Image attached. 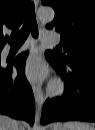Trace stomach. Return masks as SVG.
<instances>
[{
  "label": "stomach",
  "instance_id": "obj_1",
  "mask_svg": "<svg viewBox=\"0 0 95 130\" xmlns=\"http://www.w3.org/2000/svg\"><path fill=\"white\" fill-rule=\"evenodd\" d=\"M51 130H65L64 125L62 123H54L51 126Z\"/></svg>",
  "mask_w": 95,
  "mask_h": 130
}]
</instances>
